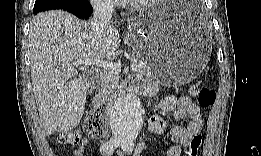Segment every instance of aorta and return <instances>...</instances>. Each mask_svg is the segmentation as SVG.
I'll return each mask as SVG.
<instances>
[{
  "label": "aorta",
  "instance_id": "1",
  "mask_svg": "<svg viewBox=\"0 0 261 156\" xmlns=\"http://www.w3.org/2000/svg\"><path fill=\"white\" fill-rule=\"evenodd\" d=\"M143 125V108L139 97L132 93L122 95L110 112V127L115 138L133 142Z\"/></svg>",
  "mask_w": 261,
  "mask_h": 156
}]
</instances>
